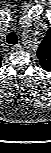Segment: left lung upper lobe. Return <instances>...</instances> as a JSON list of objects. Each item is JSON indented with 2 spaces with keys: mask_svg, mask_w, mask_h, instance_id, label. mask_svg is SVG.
I'll return each instance as SVG.
<instances>
[{
  "mask_svg": "<svg viewBox=\"0 0 51 153\" xmlns=\"http://www.w3.org/2000/svg\"><path fill=\"white\" fill-rule=\"evenodd\" d=\"M36 56L40 66L44 70L51 72V28L48 29L46 36L40 43Z\"/></svg>",
  "mask_w": 51,
  "mask_h": 153,
  "instance_id": "1",
  "label": "left lung upper lobe"
}]
</instances>
